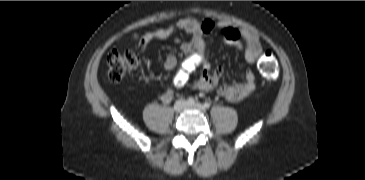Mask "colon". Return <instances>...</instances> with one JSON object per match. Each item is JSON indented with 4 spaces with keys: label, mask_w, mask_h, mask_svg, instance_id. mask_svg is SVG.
Wrapping results in <instances>:
<instances>
[{
    "label": "colon",
    "mask_w": 365,
    "mask_h": 180,
    "mask_svg": "<svg viewBox=\"0 0 365 180\" xmlns=\"http://www.w3.org/2000/svg\"><path fill=\"white\" fill-rule=\"evenodd\" d=\"M140 64V57L133 48L126 50H113L108 56V77L111 82L118 83L124 80ZM261 74L267 80L278 77V62L269 51L263 53L258 60Z\"/></svg>",
    "instance_id": "5ec220e1"
}]
</instances>
